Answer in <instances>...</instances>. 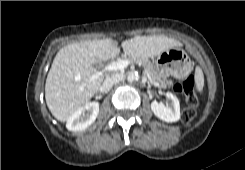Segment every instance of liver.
<instances>
[{"mask_svg":"<svg viewBox=\"0 0 245 170\" xmlns=\"http://www.w3.org/2000/svg\"><path fill=\"white\" fill-rule=\"evenodd\" d=\"M182 44L166 36H136L121 46L128 56L154 57ZM120 53L112 39L80 41L62 47L56 54L47 75L45 99L51 114L65 122L72 113L87 103L100 89L104 80L94 64L107 61Z\"/></svg>","mask_w":245,"mask_h":170,"instance_id":"liver-1","label":"liver"}]
</instances>
